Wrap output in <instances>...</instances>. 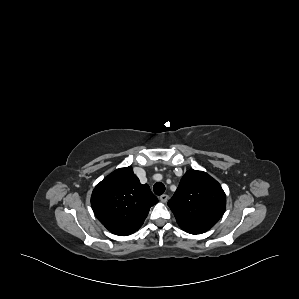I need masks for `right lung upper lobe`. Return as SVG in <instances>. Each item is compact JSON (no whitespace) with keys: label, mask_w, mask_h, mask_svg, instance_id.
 <instances>
[{"label":"right lung upper lobe","mask_w":299,"mask_h":299,"mask_svg":"<svg viewBox=\"0 0 299 299\" xmlns=\"http://www.w3.org/2000/svg\"><path fill=\"white\" fill-rule=\"evenodd\" d=\"M158 199L141 184L132 167L119 168L97 184L91 205L98 220L113 234L126 236L143 224Z\"/></svg>","instance_id":"1"}]
</instances>
